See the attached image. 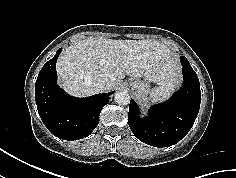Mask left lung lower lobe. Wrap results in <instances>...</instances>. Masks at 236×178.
Here are the masks:
<instances>
[{"instance_id":"0a47b994","label":"left lung lower lobe","mask_w":236,"mask_h":178,"mask_svg":"<svg viewBox=\"0 0 236 178\" xmlns=\"http://www.w3.org/2000/svg\"><path fill=\"white\" fill-rule=\"evenodd\" d=\"M184 82L181 89L163 104L155 105L141 119L139 108L130 101L128 123L142 142L155 147H168L179 142L192 128L198 115L201 92L198 76L185 57H181Z\"/></svg>"}]
</instances>
